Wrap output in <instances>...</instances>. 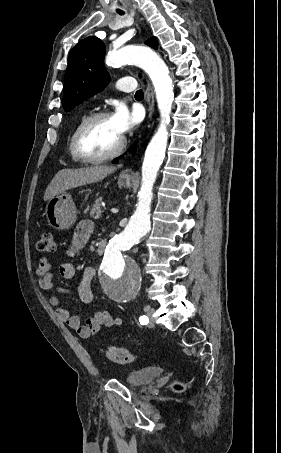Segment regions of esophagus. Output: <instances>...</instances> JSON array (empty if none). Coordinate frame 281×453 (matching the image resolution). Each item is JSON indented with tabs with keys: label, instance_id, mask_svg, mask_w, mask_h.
<instances>
[{
	"label": "esophagus",
	"instance_id": "esophagus-1",
	"mask_svg": "<svg viewBox=\"0 0 281 453\" xmlns=\"http://www.w3.org/2000/svg\"><path fill=\"white\" fill-rule=\"evenodd\" d=\"M146 94H147V105H148V108H147L148 120L150 121L152 118V114H153V94H152L151 87L149 84H147ZM130 171H131L130 169H126L125 173L127 174Z\"/></svg>",
	"mask_w": 281,
	"mask_h": 453
}]
</instances>
